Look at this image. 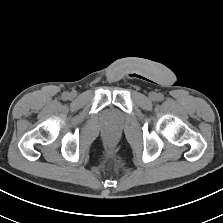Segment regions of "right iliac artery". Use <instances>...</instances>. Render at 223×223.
Returning <instances> with one entry per match:
<instances>
[{
  "instance_id": "right-iliac-artery-1",
  "label": "right iliac artery",
  "mask_w": 223,
  "mask_h": 223,
  "mask_svg": "<svg viewBox=\"0 0 223 223\" xmlns=\"http://www.w3.org/2000/svg\"><path fill=\"white\" fill-rule=\"evenodd\" d=\"M68 93H65L64 95H63V97L65 98V99H67L68 98Z\"/></svg>"
}]
</instances>
